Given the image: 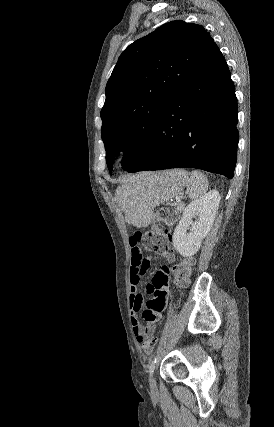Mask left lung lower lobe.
Instances as JSON below:
<instances>
[{"mask_svg": "<svg viewBox=\"0 0 274 427\" xmlns=\"http://www.w3.org/2000/svg\"><path fill=\"white\" fill-rule=\"evenodd\" d=\"M237 113L228 66L213 43L168 106L149 146L126 171L198 168L232 179Z\"/></svg>", "mask_w": 274, "mask_h": 427, "instance_id": "0a47b994", "label": "left lung lower lobe"}]
</instances>
